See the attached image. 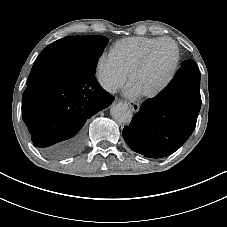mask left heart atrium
<instances>
[{
  "mask_svg": "<svg viewBox=\"0 0 227 227\" xmlns=\"http://www.w3.org/2000/svg\"><path fill=\"white\" fill-rule=\"evenodd\" d=\"M125 95L128 96V97L135 98V97H138L141 94L132 84H130L125 89Z\"/></svg>",
  "mask_w": 227,
  "mask_h": 227,
  "instance_id": "left-heart-atrium-1",
  "label": "left heart atrium"
}]
</instances>
